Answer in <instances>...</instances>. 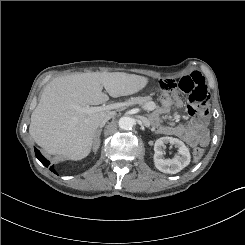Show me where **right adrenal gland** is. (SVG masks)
Masks as SVG:
<instances>
[{
  "mask_svg": "<svg viewBox=\"0 0 245 245\" xmlns=\"http://www.w3.org/2000/svg\"><path fill=\"white\" fill-rule=\"evenodd\" d=\"M102 132V126L96 131L95 139H94V147L93 149L96 151L100 145V135Z\"/></svg>",
  "mask_w": 245,
  "mask_h": 245,
  "instance_id": "2a0ac1e0",
  "label": "right adrenal gland"
}]
</instances>
